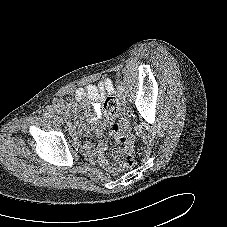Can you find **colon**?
Instances as JSON below:
<instances>
[{
  "mask_svg": "<svg viewBox=\"0 0 227 227\" xmlns=\"http://www.w3.org/2000/svg\"><path fill=\"white\" fill-rule=\"evenodd\" d=\"M104 111L111 117H125L126 113L121 108V104L116 97H109L104 102ZM130 124L127 121H122L120 123H114L112 126V134L116 143L124 145L130 149L134 143V139L131 134ZM136 163L134 154L128 150L121 161V166L123 169L128 170L134 167Z\"/></svg>",
  "mask_w": 227,
  "mask_h": 227,
  "instance_id": "obj_1",
  "label": "colon"
}]
</instances>
